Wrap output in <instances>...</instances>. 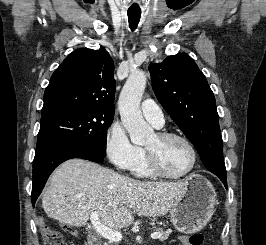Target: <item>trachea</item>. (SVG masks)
Here are the masks:
<instances>
[{
  "label": "trachea",
  "mask_w": 266,
  "mask_h": 245,
  "mask_svg": "<svg viewBox=\"0 0 266 245\" xmlns=\"http://www.w3.org/2000/svg\"><path fill=\"white\" fill-rule=\"evenodd\" d=\"M141 13H135L133 11H128V20L131 30H135L140 20Z\"/></svg>",
  "instance_id": "3493384b"
}]
</instances>
